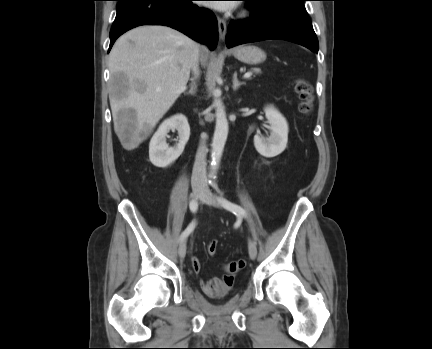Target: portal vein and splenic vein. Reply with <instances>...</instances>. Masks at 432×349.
I'll use <instances>...</instances> for the list:
<instances>
[{
	"mask_svg": "<svg viewBox=\"0 0 432 349\" xmlns=\"http://www.w3.org/2000/svg\"><path fill=\"white\" fill-rule=\"evenodd\" d=\"M251 76H252V72H247L244 74L245 79L250 78Z\"/></svg>",
	"mask_w": 432,
	"mask_h": 349,
	"instance_id": "portal-vein-and-splenic-vein-1",
	"label": "portal vein and splenic vein"
}]
</instances>
